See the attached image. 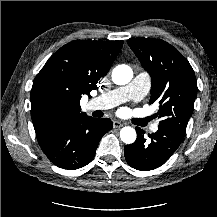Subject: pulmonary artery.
I'll list each match as a JSON object with an SVG mask.
<instances>
[{"label": "pulmonary artery", "instance_id": "pulmonary-artery-1", "mask_svg": "<svg viewBox=\"0 0 217 217\" xmlns=\"http://www.w3.org/2000/svg\"><path fill=\"white\" fill-rule=\"evenodd\" d=\"M151 86L148 73L140 72L125 86L111 90L90 100L86 105L88 110H107L126 101H139L146 96ZM159 126L154 123L150 126L152 132L158 131Z\"/></svg>", "mask_w": 217, "mask_h": 217}]
</instances>
